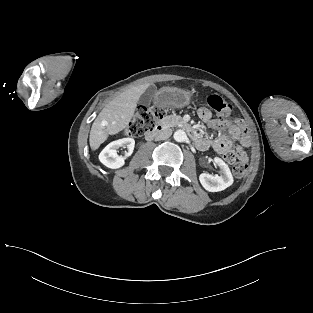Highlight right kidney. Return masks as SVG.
<instances>
[{
	"instance_id": "1",
	"label": "right kidney",
	"mask_w": 313,
	"mask_h": 313,
	"mask_svg": "<svg viewBox=\"0 0 313 313\" xmlns=\"http://www.w3.org/2000/svg\"><path fill=\"white\" fill-rule=\"evenodd\" d=\"M135 140L133 138H122L109 143L99 154V160L106 167L117 169L124 165L125 158L130 156L134 150ZM120 147L127 148L125 157L119 156L117 150Z\"/></svg>"
}]
</instances>
